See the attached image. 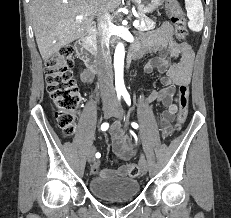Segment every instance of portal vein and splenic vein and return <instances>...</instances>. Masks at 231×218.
<instances>
[{
  "label": "portal vein and splenic vein",
  "mask_w": 231,
  "mask_h": 218,
  "mask_svg": "<svg viewBox=\"0 0 231 218\" xmlns=\"http://www.w3.org/2000/svg\"><path fill=\"white\" fill-rule=\"evenodd\" d=\"M82 18H83L82 16L77 17V19H82ZM139 24H140V23H139L138 20H135V21L133 22V26H134V27H137Z\"/></svg>",
  "instance_id": "portal-vein-and-splenic-vein-1"
}]
</instances>
